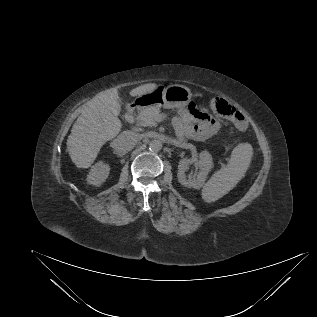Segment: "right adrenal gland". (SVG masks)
Listing matches in <instances>:
<instances>
[{
	"instance_id": "obj_1",
	"label": "right adrenal gland",
	"mask_w": 317,
	"mask_h": 317,
	"mask_svg": "<svg viewBox=\"0 0 317 317\" xmlns=\"http://www.w3.org/2000/svg\"><path fill=\"white\" fill-rule=\"evenodd\" d=\"M114 154H117L115 151L113 152ZM118 156H120L119 154H117Z\"/></svg>"
}]
</instances>
